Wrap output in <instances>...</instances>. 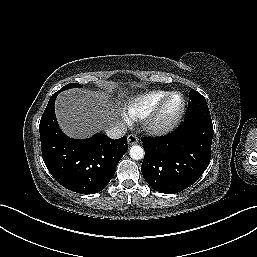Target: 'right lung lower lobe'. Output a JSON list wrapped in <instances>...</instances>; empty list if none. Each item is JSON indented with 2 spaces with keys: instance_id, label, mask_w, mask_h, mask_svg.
I'll return each instance as SVG.
<instances>
[{
  "instance_id": "obj_1",
  "label": "right lung lower lobe",
  "mask_w": 257,
  "mask_h": 257,
  "mask_svg": "<svg viewBox=\"0 0 257 257\" xmlns=\"http://www.w3.org/2000/svg\"><path fill=\"white\" fill-rule=\"evenodd\" d=\"M54 93L40 120L42 157L51 175L65 188L82 194H94L106 187L128 149L127 138L110 139L96 134L86 140L67 137L59 128Z\"/></svg>"
}]
</instances>
